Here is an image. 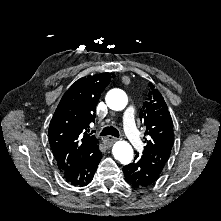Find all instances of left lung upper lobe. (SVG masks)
Instances as JSON below:
<instances>
[{
  "label": "left lung upper lobe",
  "mask_w": 221,
  "mask_h": 221,
  "mask_svg": "<svg viewBox=\"0 0 221 221\" xmlns=\"http://www.w3.org/2000/svg\"><path fill=\"white\" fill-rule=\"evenodd\" d=\"M150 91L140 111V119L146 127L147 145L140 157L157 169L163 170L174 142L173 122L160 92L149 83Z\"/></svg>",
  "instance_id": "1"
}]
</instances>
